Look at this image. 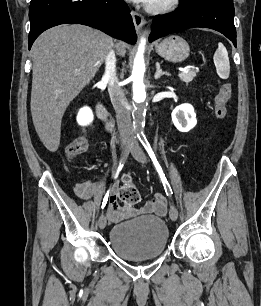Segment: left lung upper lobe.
Listing matches in <instances>:
<instances>
[{
	"label": "left lung upper lobe",
	"instance_id": "1",
	"mask_svg": "<svg viewBox=\"0 0 261 306\" xmlns=\"http://www.w3.org/2000/svg\"><path fill=\"white\" fill-rule=\"evenodd\" d=\"M180 1L184 2V1H188V0H180Z\"/></svg>",
	"mask_w": 261,
	"mask_h": 306
}]
</instances>
